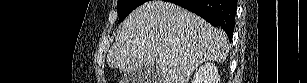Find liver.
<instances>
[{"label":"liver","instance_id":"liver-1","mask_svg":"<svg viewBox=\"0 0 307 83\" xmlns=\"http://www.w3.org/2000/svg\"><path fill=\"white\" fill-rule=\"evenodd\" d=\"M228 51L223 30L180 6L152 0L123 21L107 63L125 73L152 66L162 75L159 83H187L202 62L221 63Z\"/></svg>","mask_w":307,"mask_h":83}]
</instances>
